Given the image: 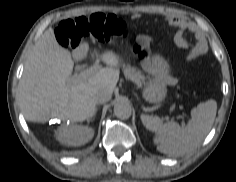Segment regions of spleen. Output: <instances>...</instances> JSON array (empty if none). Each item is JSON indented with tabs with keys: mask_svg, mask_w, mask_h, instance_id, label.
<instances>
[{
	"mask_svg": "<svg viewBox=\"0 0 236 182\" xmlns=\"http://www.w3.org/2000/svg\"><path fill=\"white\" fill-rule=\"evenodd\" d=\"M216 109L214 100L200 103L191 110V120L184 127L173 121L163 123L159 117L150 115H141V121L147 130L156 134L153 141L160 152L178 156L203 142L215 120Z\"/></svg>",
	"mask_w": 236,
	"mask_h": 182,
	"instance_id": "1",
	"label": "spleen"
}]
</instances>
